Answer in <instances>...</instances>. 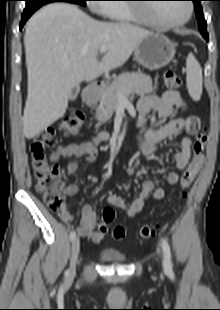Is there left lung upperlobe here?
<instances>
[{"mask_svg": "<svg viewBox=\"0 0 220 310\" xmlns=\"http://www.w3.org/2000/svg\"><path fill=\"white\" fill-rule=\"evenodd\" d=\"M194 2V6H195V11H196V17L198 19L199 22V29L201 34L204 36H207V30H206V21L204 19V15H203V11H202V7H201V1L202 0H192Z\"/></svg>", "mask_w": 220, "mask_h": 310, "instance_id": "1", "label": "left lung upper lobe"}]
</instances>
